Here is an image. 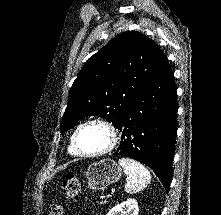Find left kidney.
<instances>
[{
	"label": "left kidney",
	"mask_w": 221,
	"mask_h": 215,
	"mask_svg": "<svg viewBox=\"0 0 221 215\" xmlns=\"http://www.w3.org/2000/svg\"><path fill=\"white\" fill-rule=\"evenodd\" d=\"M138 204L135 199H128L111 208L107 215H138Z\"/></svg>",
	"instance_id": "1"
}]
</instances>
